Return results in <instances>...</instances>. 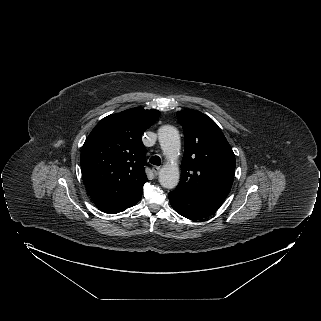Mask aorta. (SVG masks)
I'll return each instance as SVG.
<instances>
[{"label":"aorta","mask_w":321,"mask_h":321,"mask_svg":"<svg viewBox=\"0 0 321 321\" xmlns=\"http://www.w3.org/2000/svg\"><path fill=\"white\" fill-rule=\"evenodd\" d=\"M158 139L163 154L168 160L159 172V182L162 187L173 189L180 179L179 169L174 163L181 147L179 132L174 126L164 125L158 130Z\"/></svg>","instance_id":"obj_1"}]
</instances>
